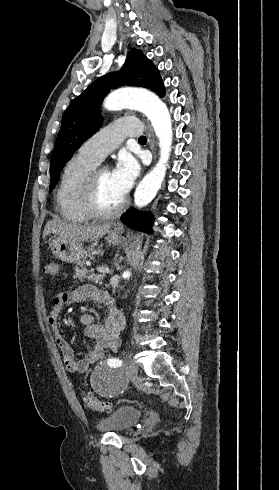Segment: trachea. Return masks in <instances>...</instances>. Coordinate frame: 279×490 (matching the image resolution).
Instances as JSON below:
<instances>
[{"mask_svg":"<svg viewBox=\"0 0 279 490\" xmlns=\"http://www.w3.org/2000/svg\"><path fill=\"white\" fill-rule=\"evenodd\" d=\"M146 141H147L146 137H144L143 135L141 137H139V139H138L139 143H146Z\"/></svg>","mask_w":279,"mask_h":490,"instance_id":"trachea-1","label":"trachea"}]
</instances>
